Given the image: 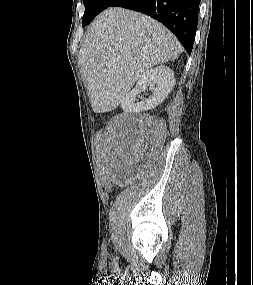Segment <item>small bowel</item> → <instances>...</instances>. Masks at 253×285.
Here are the masks:
<instances>
[{"label": "small bowel", "mask_w": 253, "mask_h": 285, "mask_svg": "<svg viewBox=\"0 0 253 285\" xmlns=\"http://www.w3.org/2000/svg\"><path fill=\"white\" fill-rule=\"evenodd\" d=\"M109 150H110V152L112 151V146L109 147ZM107 158L111 159L110 157H107Z\"/></svg>", "instance_id": "small-bowel-1"}]
</instances>
